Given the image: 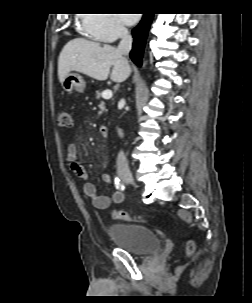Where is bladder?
I'll list each match as a JSON object with an SVG mask.
<instances>
[{
    "mask_svg": "<svg viewBox=\"0 0 252 303\" xmlns=\"http://www.w3.org/2000/svg\"><path fill=\"white\" fill-rule=\"evenodd\" d=\"M108 233L119 248L137 256H147L161 250L158 235L144 225L114 223L108 227Z\"/></svg>",
    "mask_w": 252,
    "mask_h": 303,
    "instance_id": "31cf9c89",
    "label": "bladder"
}]
</instances>
